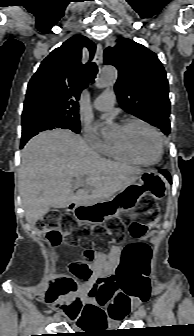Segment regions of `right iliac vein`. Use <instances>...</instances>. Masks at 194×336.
<instances>
[{
    "label": "right iliac vein",
    "instance_id": "obj_1",
    "mask_svg": "<svg viewBox=\"0 0 194 336\" xmlns=\"http://www.w3.org/2000/svg\"><path fill=\"white\" fill-rule=\"evenodd\" d=\"M54 320L57 321V322L60 321V315L59 314H55Z\"/></svg>",
    "mask_w": 194,
    "mask_h": 336
}]
</instances>
